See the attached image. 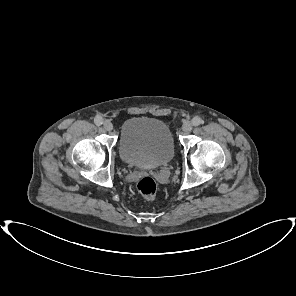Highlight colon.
<instances>
[{
  "label": "colon",
  "instance_id": "1",
  "mask_svg": "<svg viewBox=\"0 0 296 296\" xmlns=\"http://www.w3.org/2000/svg\"><path fill=\"white\" fill-rule=\"evenodd\" d=\"M139 193L145 198H154L157 191V184L151 177H143L137 184Z\"/></svg>",
  "mask_w": 296,
  "mask_h": 296
}]
</instances>
